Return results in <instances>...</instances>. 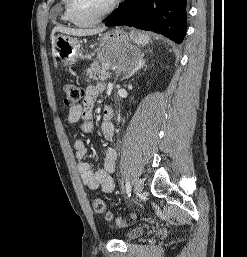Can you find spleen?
I'll list each match as a JSON object with an SVG mask.
<instances>
[{
  "mask_svg": "<svg viewBox=\"0 0 247 257\" xmlns=\"http://www.w3.org/2000/svg\"><path fill=\"white\" fill-rule=\"evenodd\" d=\"M135 42L139 45H146L149 42V37L146 34L139 33L138 37L135 38Z\"/></svg>",
  "mask_w": 247,
  "mask_h": 257,
  "instance_id": "obj_1",
  "label": "spleen"
}]
</instances>
